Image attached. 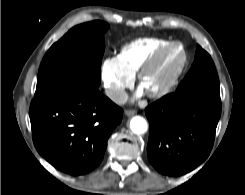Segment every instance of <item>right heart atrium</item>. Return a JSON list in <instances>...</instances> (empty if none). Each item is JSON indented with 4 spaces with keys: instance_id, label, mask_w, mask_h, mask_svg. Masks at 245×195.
Here are the masks:
<instances>
[{
    "instance_id": "obj_1",
    "label": "right heart atrium",
    "mask_w": 245,
    "mask_h": 195,
    "mask_svg": "<svg viewBox=\"0 0 245 195\" xmlns=\"http://www.w3.org/2000/svg\"><path fill=\"white\" fill-rule=\"evenodd\" d=\"M100 79L107 97L115 103L126 98V90L133 83V76L120 65L117 57H107L100 64Z\"/></svg>"
}]
</instances>
